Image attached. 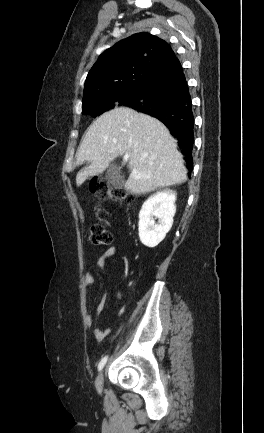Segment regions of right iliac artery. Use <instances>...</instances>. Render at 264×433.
Listing matches in <instances>:
<instances>
[{
  "label": "right iliac artery",
  "instance_id": "obj_1",
  "mask_svg": "<svg viewBox=\"0 0 264 433\" xmlns=\"http://www.w3.org/2000/svg\"><path fill=\"white\" fill-rule=\"evenodd\" d=\"M108 356H105L104 358H102V360L100 361L99 365H98V370H102L103 367L105 366L106 362H107Z\"/></svg>",
  "mask_w": 264,
  "mask_h": 433
}]
</instances>
